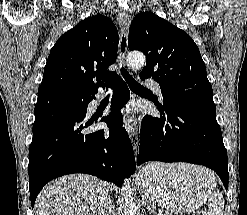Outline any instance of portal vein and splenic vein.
<instances>
[{
    "instance_id": "obj_1",
    "label": "portal vein and splenic vein",
    "mask_w": 247,
    "mask_h": 215,
    "mask_svg": "<svg viewBox=\"0 0 247 215\" xmlns=\"http://www.w3.org/2000/svg\"><path fill=\"white\" fill-rule=\"evenodd\" d=\"M158 215H164V214H162V213L159 212Z\"/></svg>"
}]
</instances>
